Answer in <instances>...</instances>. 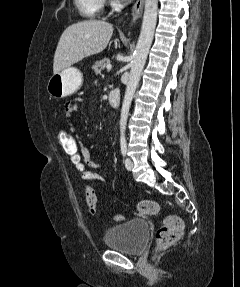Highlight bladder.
<instances>
[{"mask_svg":"<svg viewBox=\"0 0 240 287\" xmlns=\"http://www.w3.org/2000/svg\"><path fill=\"white\" fill-rule=\"evenodd\" d=\"M149 234L150 227L146 220L131 219L108 228L104 235V244L129 255H140L146 248Z\"/></svg>","mask_w":240,"mask_h":287,"instance_id":"1","label":"bladder"}]
</instances>
